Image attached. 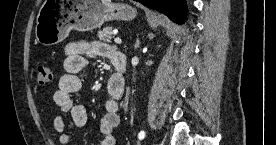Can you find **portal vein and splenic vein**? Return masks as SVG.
<instances>
[{
	"mask_svg": "<svg viewBox=\"0 0 276 145\" xmlns=\"http://www.w3.org/2000/svg\"><path fill=\"white\" fill-rule=\"evenodd\" d=\"M114 41H115L116 44H121L122 43V40L119 37H116L114 39Z\"/></svg>",
	"mask_w": 276,
	"mask_h": 145,
	"instance_id": "18ae733b",
	"label": "portal vein and splenic vein"
}]
</instances>
